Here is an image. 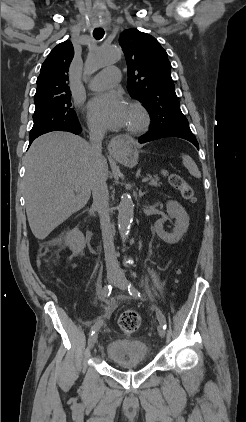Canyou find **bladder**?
Masks as SVG:
<instances>
[{
  "label": "bladder",
  "mask_w": 246,
  "mask_h": 422,
  "mask_svg": "<svg viewBox=\"0 0 246 422\" xmlns=\"http://www.w3.org/2000/svg\"><path fill=\"white\" fill-rule=\"evenodd\" d=\"M106 355L112 363L120 367L142 365L148 360V347L136 339H112L106 345Z\"/></svg>",
  "instance_id": "bladder-1"
}]
</instances>
